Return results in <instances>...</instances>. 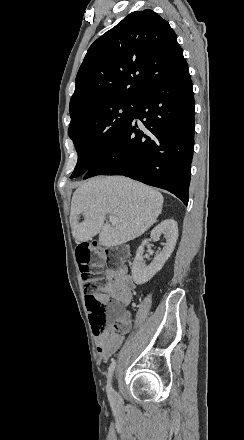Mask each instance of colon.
<instances>
[{"label":"colon","mask_w":244,"mask_h":440,"mask_svg":"<svg viewBox=\"0 0 244 440\" xmlns=\"http://www.w3.org/2000/svg\"><path fill=\"white\" fill-rule=\"evenodd\" d=\"M77 259L76 269L81 271L84 282V312L89 313L90 319H107V327L115 333H122L127 325L130 313L124 310L123 305L98 304L94 294L98 292V286L102 283V272H113L115 267H122L123 257L129 254L126 248H104L100 252L93 253L92 245L75 248ZM104 257H108L106 260ZM94 262H91V261ZM93 271L94 275L87 276Z\"/></svg>","instance_id":"1"}]
</instances>
